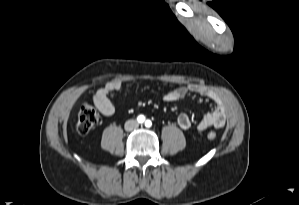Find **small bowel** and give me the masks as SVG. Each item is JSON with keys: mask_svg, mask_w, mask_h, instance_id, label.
<instances>
[{"mask_svg": "<svg viewBox=\"0 0 299 205\" xmlns=\"http://www.w3.org/2000/svg\"><path fill=\"white\" fill-rule=\"evenodd\" d=\"M122 82L118 79L108 81L103 87L96 90L93 95V102L98 111L104 116H111L114 114L115 109L112 102L109 99V95L113 92H117L121 89ZM195 93L206 97L212 104V110L205 114L197 123L196 127L199 131H204L210 127L222 128L226 122V111L224 104L220 97L206 86L198 83H191L186 86H180L174 88L164 95L166 102H174L181 100L187 96V94ZM177 123L180 128L187 130L192 127V119L186 113L179 115Z\"/></svg>", "mask_w": 299, "mask_h": 205, "instance_id": "obj_1", "label": "small bowel"}]
</instances>
